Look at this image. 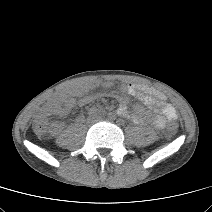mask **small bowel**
Listing matches in <instances>:
<instances>
[{"label": "small bowel", "mask_w": 212, "mask_h": 212, "mask_svg": "<svg viewBox=\"0 0 212 212\" xmlns=\"http://www.w3.org/2000/svg\"><path fill=\"white\" fill-rule=\"evenodd\" d=\"M113 87L111 82L93 81L81 83L72 88L59 93L52 101V109L61 116H66L76 105L85 106L96 99L109 96L117 100L119 103L117 113L121 116H128V96H133L143 101L147 106L158 105L160 107V115L151 116L144 108L137 106L133 114V120L137 124L151 123L156 128H163L168 121L177 119L175 108L166 102L165 96L151 86L139 84H124L120 86V92H99L94 91L98 88L110 90ZM79 121L81 118L78 119ZM62 129L61 124H57L53 128L54 133H58Z\"/></svg>", "instance_id": "obj_1"}]
</instances>
